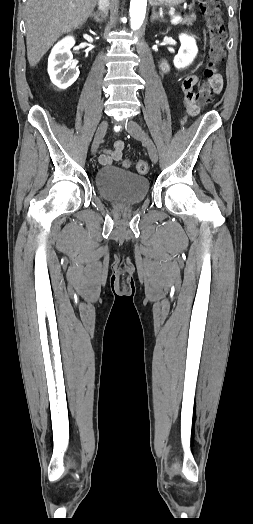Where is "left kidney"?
<instances>
[{
  "instance_id": "1",
  "label": "left kidney",
  "mask_w": 253,
  "mask_h": 524,
  "mask_svg": "<svg viewBox=\"0 0 253 524\" xmlns=\"http://www.w3.org/2000/svg\"><path fill=\"white\" fill-rule=\"evenodd\" d=\"M179 40L181 42L178 54L174 57V66L178 69H183L189 66L198 53L195 38L186 34H180Z\"/></svg>"
}]
</instances>
